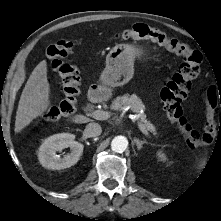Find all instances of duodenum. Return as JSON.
Instances as JSON below:
<instances>
[{
	"label": "duodenum",
	"mask_w": 221,
	"mask_h": 221,
	"mask_svg": "<svg viewBox=\"0 0 221 221\" xmlns=\"http://www.w3.org/2000/svg\"><path fill=\"white\" fill-rule=\"evenodd\" d=\"M106 96V91L101 86L92 88L88 93V98L91 102H99Z\"/></svg>",
	"instance_id": "duodenum-1"
}]
</instances>
